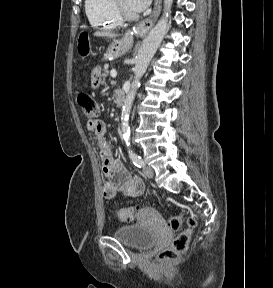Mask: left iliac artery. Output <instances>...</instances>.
Here are the masks:
<instances>
[{
    "mask_svg": "<svg viewBox=\"0 0 273 288\" xmlns=\"http://www.w3.org/2000/svg\"><path fill=\"white\" fill-rule=\"evenodd\" d=\"M130 159L132 160L133 164L135 166H137L138 168L144 167V161L142 160V158L137 155L136 153H130L129 155Z\"/></svg>",
    "mask_w": 273,
    "mask_h": 288,
    "instance_id": "1",
    "label": "left iliac artery"
}]
</instances>
